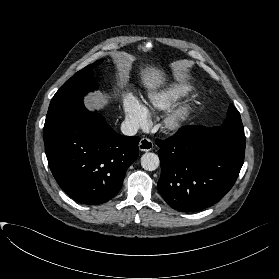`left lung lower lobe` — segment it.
I'll return each instance as SVG.
<instances>
[{"label": "left lung lower lobe", "instance_id": "left-lung-lower-lobe-1", "mask_svg": "<svg viewBox=\"0 0 279 279\" xmlns=\"http://www.w3.org/2000/svg\"><path fill=\"white\" fill-rule=\"evenodd\" d=\"M156 143L161 163L158 191L177 211L216 204L232 188L244 162V134L223 126H184Z\"/></svg>", "mask_w": 279, "mask_h": 279}]
</instances>
